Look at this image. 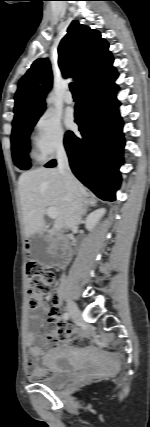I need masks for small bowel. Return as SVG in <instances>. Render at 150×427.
<instances>
[{
  "label": "small bowel",
  "instance_id": "1",
  "mask_svg": "<svg viewBox=\"0 0 150 427\" xmlns=\"http://www.w3.org/2000/svg\"><path fill=\"white\" fill-rule=\"evenodd\" d=\"M53 301L51 309L46 304H38L35 307V311L29 316L26 345L29 355L27 371L31 378H44L47 376L46 370L39 368L37 365L43 345L64 343L75 347H85L89 344V339L86 336L78 335L74 330L61 324L59 321L61 310L57 303L58 295L53 297ZM45 315H48V320L55 324L47 338L37 333V329L44 322Z\"/></svg>",
  "mask_w": 150,
  "mask_h": 427
}]
</instances>
